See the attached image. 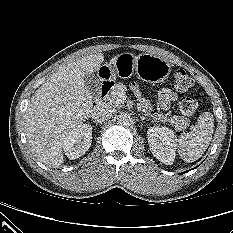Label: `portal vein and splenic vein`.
Returning <instances> with one entry per match:
<instances>
[{"label": "portal vein and splenic vein", "instance_id": "portal-vein-and-splenic-vein-1", "mask_svg": "<svg viewBox=\"0 0 233 233\" xmlns=\"http://www.w3.org/2000/svg\"><path fill=\"white\" fill-rule=\"evenodd\" d=\"M119 97H120V99H119V100L122 102V101H123V97H124V96H123V95H119Z\"/></svg>", "mask_w": 233, "mask_h": 233}]
</instances>
